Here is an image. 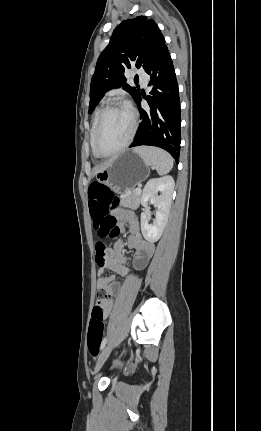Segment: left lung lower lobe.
<instances>
[{
    "mask_svg": "<svg viewBox=\"0 0 261 431\" xmlns=\"http://www.w3.org/2000/svg\"><path fill=\"white\" fill-rule=\"evenodd\" d=\"M145 72L150 75V95L144 97L148 109L141 107L143 93L135 100L141 122L130 147L150 145L168 151L179 162L181 116L179 90L175 70L167 46L154 57Z\"/></svg>",
    "mask_w": 261,
    "mask_h": 431,
    "instance_id": "0a47b994",
    "label": "left lung lower lobe"
}]
</instances>
